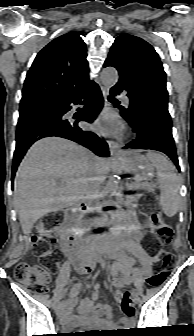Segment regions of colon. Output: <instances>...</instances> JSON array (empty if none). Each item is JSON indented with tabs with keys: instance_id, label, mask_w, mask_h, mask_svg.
I'll return each mask as SVG.
<instances>
[{
	"instance_id": "5ec220e1",
	"label": "colon",
	"mask_w": 194,
	"mask_h": 336,
	"mask_svg": "<svg viewBox=\"0 0 194 336\" xmlns=\"http://www.w3.org/2000/svg\"><path fill=\"white\" fill-rule=\"evenodd\" d=\"M143 210L151 227V231L145 237V247L152 257L160 258L162 261V269L148 276L146 283L150 286H157L163 282L169 273L172 256L163 250L162 246L171 241L173 231L162 220L158 205L153 200L146 201L143 204ZM56 222L57 219L48 216L38 223L31 238L33 251L36 255L57 257V253L53 251L54 225ZM14 275L19 282L34 292L45 293L47 291L49 273L44 266L20 262L15 267ZM129 308V313L132 314L133 308L131 306Z\"/></svg>"
}]
</instances>
